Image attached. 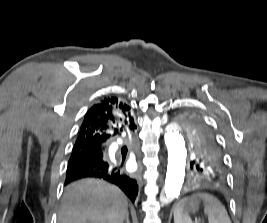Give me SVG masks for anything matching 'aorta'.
<instances>
[{
	"label": "aorta",
	"instance_id": "obj_1",
	"mask_svg": "<svg viewBox=\"0 0 267 223\" xmlns=\"http://www.w3.org/2000/svg\"><path fill=\"white\" fill-rule=\"evenodd\" d=\"M164 139L168 150V164L164 190L159 196L161 204H167L180 195L186 167L185 141L177 122H171L167 126Z\"/></svg>",
	"mask_w": 267,
	"mask_h": 223
}]
</instances>
